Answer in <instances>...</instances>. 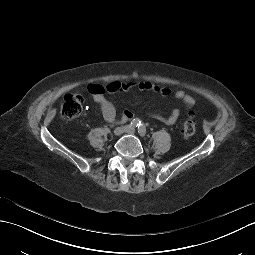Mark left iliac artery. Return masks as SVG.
<instances>
[{"label": "left iliac artery", "instance_id": "44dca946", "mask_svg": "<svg viewBox=\"0 0 255 255\" xmlns=\"http://www.w3.org/2000/svg\"><path fill=\"white\" fill-rule=\"evenodd\" d=\"M138 133L141 135V136H145L146 135V127L144 124H140L139 127H138Z\"/></svg>", "mask_w": 255, "mask_h": 255}]
</instances>
